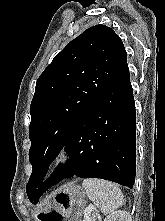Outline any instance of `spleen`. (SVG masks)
<instances>
[{"label": "spleen", "mask_w": 165, "mask_h": 221, "mask_svg": "<svg viewBox=\"0 0 165 221\" xmlns=\"http://www.w3.org/2000/svg\"><path fill=\"white\" fill-rule=\"evenodd\" d=\"M88 198L99 205L103 214L114 212L123 204V194L120 188L109 181L101 179H86L82 183Z\"/></svg>", "instance_id": "spleen-1"}]
</instances>
